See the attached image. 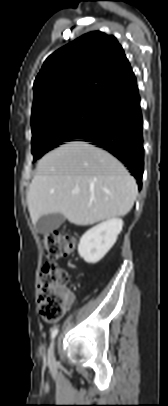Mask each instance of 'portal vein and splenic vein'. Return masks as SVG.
Listing matches in <instances>:
<instances>
[{"mask_svg":"<svg viewBox=\"0 0 168 406\" xmlns=\"http://www.w3.org/2000/svg\"><path fill=\"white\" fill-rule=\"evenodd\" d=\"M74 194H78L79 193V189H76L73 191Z\"/></svg>","mask_w":168,"mask_h":406,"instance_id":"portal-vein-and-splenic-vein-1","label":"portal vein and splenic vein"}]
</instances>
